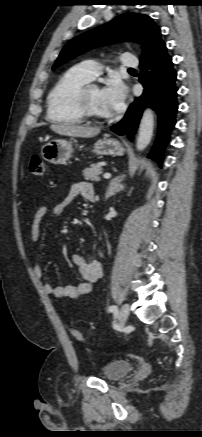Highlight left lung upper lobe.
I'll return each instance as SVG.
<instances>
[{
    "label": "left lung upper lobe",
    "instance_id": "obj_1",
    "mask_svg": "<svg viewBox=\"0 0 202 437\" xmlns=\"http://www.w3.org/2000/svg\"><path fill=\"white\" fill-rule=\"evenodd\" d=\"M130 40L138 41L142 45L141 61L149 58L164 43L160 28L149 16L127 13L70 40L52 69L95 47Z\"/></svg>",
    "mask_w": 202,
    "mask_h": 437
}]
</instances>
